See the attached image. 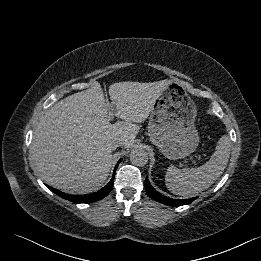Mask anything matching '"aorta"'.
<instances>
[{"label":"aorta","mask_w":261,"mask_h":261,"mask_svg":"<svg viewBox=\"0 0 261 261\" xmlns=\"http://www.w3.org/2000/svg\"><path fill=\"white\" fill-rule=\"evenodd\" d=\"M130 160L135 166H145L148 163V154L145 150L137 148L131 151Z\"/></svg>","instance_id":"762f6f07"}]
</instances>
